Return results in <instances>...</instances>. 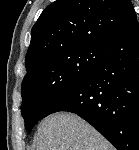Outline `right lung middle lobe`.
Masks as SVG:
<instances>
[{
  "label": "right lung middle lobe",
  "instance_id": "obj_1",
  "mask_svg": "<svg viewBox=\"0 0 139 150\" xmlns=\"http://www.w3.org/2000/svg\"><path fill=\"white\" fill-rule=\"evenodd\" d=\"M106 47H89L54 55L26 74L22 81L21 113L28 131L61 95L91 71Z\"/></svg>",
  "mask_w": 139,
  "mask_h": 150
}]
</instances>
